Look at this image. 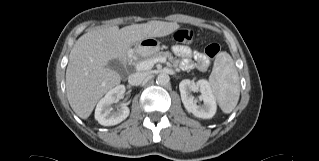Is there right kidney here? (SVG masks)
Listing matches in <instances>:
<instances>
[{"instance_id": "obj_1", "label": "right kidney", "mask_w": 319, "mask_h": 161, "mask_svg": "<svg viewBox=\"0 0 319 161\" xmlns=\"http://www.w3.org/2000/svg\"><path fill=\"white\" fill-rule=\"evenodd\" d=\"M125 86L118 85L107 92V94L98 102L95 109V119L103 126L117 125L125 120L130 113L126 105H122L117 111H112L110 105L124 97Z\"/></svg>"}]
</instances>
